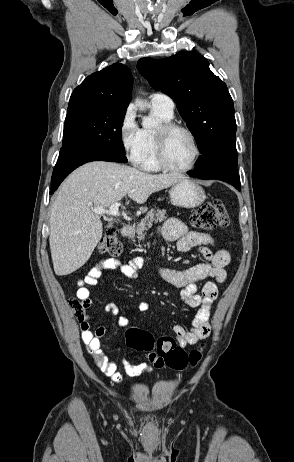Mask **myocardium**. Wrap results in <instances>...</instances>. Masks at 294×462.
<instances>
[{
  "mask_svg": "<svg viewBox=\"0 0 294 462\" xmlns=\"http://www.w3.org/2000/svg\"><path fill=\"white\" fill-rule=\"evenodd\" d=\"M175 131L185 132L190 137L193 143V146H194V155H193V158L190 164L182 168L173 167L172 165L169 164L167 160V142H168L169 136ZM155 141H156V157H157L158 165L160 169L166 172H170V173L188 172L196 166L201 156L200 143L195 133L187 126L176 123V122H172V121L163 122L156 130Z\"/></svg>",
  "mask_w": 294,
  "mask_h": 462,
  "instance_id": "f54148a6",
  "label": "myocardium"
}]
</instances>
